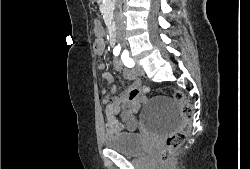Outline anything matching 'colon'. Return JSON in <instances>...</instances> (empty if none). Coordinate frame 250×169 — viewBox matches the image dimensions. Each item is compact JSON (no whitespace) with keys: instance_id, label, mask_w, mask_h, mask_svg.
I'll return each mask as SVG.
<instances>
[{"instance_id":"colon-1","label":"colon","mask_w":250,"mask_h":169,"mask_svg":"<svg viewBox=\"0 0 250 169\" xmlns=\"http://www.w3.org/2000/svg\"><path fill=\"white\" fill-rule=\"evenodd\" d=\"M98 49H103V44H98V42H93V53H98ZM150 88L149 86L147 87ZM170 93H173V100L179 101L181 104L180 114L183 116L181 119L182 126H177V131L170 134L166 138L165 145H163V150H160L158 166L159 169H175V164L172 161V155H175V150H182V143L187 139V135H190L192 131L193 122L192 120V111L193 106H190L192 103L191 99H188V96H184L183 88H178L175 91L174 88H170ZM146 90H135L128 91L126 95V100H133V98H138L140 95H146ZM142 102H147V97H142ZM114 108H119V103H114ZM115 110V114L117 113Z\"/></svg>"}]
</instances>
